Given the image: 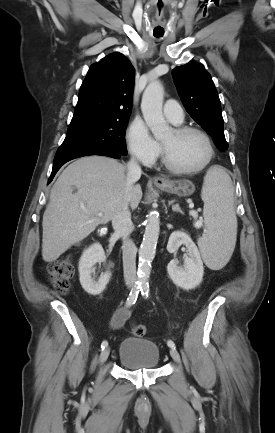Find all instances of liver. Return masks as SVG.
Returning <instances> with one entry per match:
<instances>
[{"label":"liver","mask_w":275,"mask_h":433,"mask_svg":"<svg viewBox=\"0 0 275 433\" xmlns=\"http://www.w3.org/2000/svg\"><path fill=\"white\" fill-rule=\"evenodd\" d=\"M126 196L136 209L141 186L133 185L127 192L126 167L115 159L88 156L68 165L53 185L43 215V260L54 262L98 225L112 220Z\"/></svg>","instance_id":"liver-1"}]
</instances>
